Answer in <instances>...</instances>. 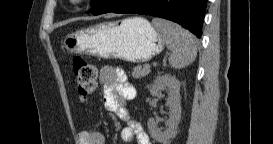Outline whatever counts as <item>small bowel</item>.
Instances as JSON below:
<instances>
[{
    "label": "small bowel",
    "mask_w": 273,
    "mask_h": 144,
    "mask_svg": "<svg viewBox=\"0 0 273 144\" xmlns=\"http://www.w3.org/2000/svg\"><path fill=\"white\" fill-rule=\"evenodd\" d=\"M99 80L103 85L104 105L107 110L122 119L127 126L121 131V140L126 144H150L148 134L125 108L126 102L135 97L133 87L121 69L105 66L101 68ZM78 144H105V135L100 131L83 130L77 134Z\"/></svg>",
    "instance_id": "1"
}]
</instances>
